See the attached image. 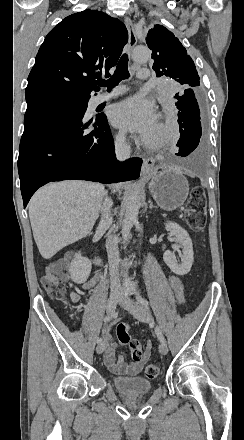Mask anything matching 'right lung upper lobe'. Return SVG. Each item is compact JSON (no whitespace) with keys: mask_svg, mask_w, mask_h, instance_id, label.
Segmentation results:
<instances>
[{"mask_svg":"<svg viewBox=\"0 0 244 440\" xmlns=\"http://www.w3.org/2000/svg\"><path fill=\"white\" fill-rule=\"evenodd\" d=\"M128 41L125 25L98 10L63 19L46 36L28 76L26 99L90 98L100 76L109 77Z\"/></svg>","mask_w":244,"mask_h":440,"instance_id":"cb5924a9","label":"right lung upper lobe"}]
</instances>
